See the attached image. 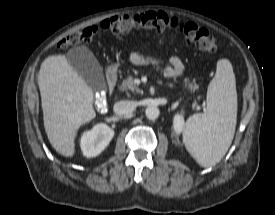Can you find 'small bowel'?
<instances>
[{
	"label": "small bowel",
	"mask_w": 275,
	"mask_h": 215,
	"mask_svg": "<svg viewBox=\"0 0 275 215\" xmlns=\"http://www.w3.org/2000/svg\"><path fill=\"white\" fill-rule=\"evenodd\" d=\"M132 62H139V58L136 55H130ZM184 65L178 56H172L169 60V64L163 68L164 76L167 78H175L183 73Z\"/></svg>",
	"instance_id": "obj_1"
}]
</instances>
